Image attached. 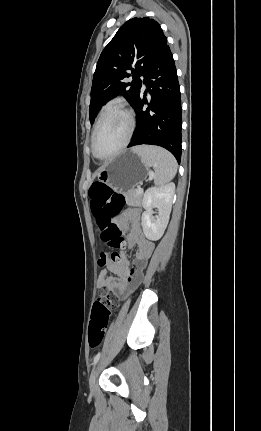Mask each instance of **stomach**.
Returning <instances> with one entry per match:
<instances>
[{
	"label": "stomach",
	"instance_id": "obj_1",
	"mask_svg": "<svg viewBox=\"0 0 261 431\" xmlns=\"http://www.w3.org/2000/svg\"><path fill=\"white\" fill-rule=\"evenodd\" d=\"M148 166L133 149L109 160L98 172V180L120 192L133 190L146 179Z\"/></svg>",
	"mask_w": 261,
	"mask_h": 431
}]
</instances>
